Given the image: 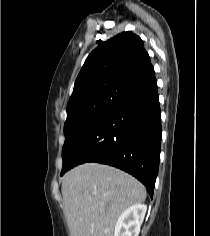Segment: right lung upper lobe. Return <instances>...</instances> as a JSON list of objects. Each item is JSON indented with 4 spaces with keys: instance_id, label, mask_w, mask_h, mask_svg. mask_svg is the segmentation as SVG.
<instances>
[{
    "instance_id": "1",
    "label": "right lung upper lobe",
    "mask_w": 210,
    "mask_h": 236,
    "mask_svg": "<svg viewBox=\"0 0 210 236\" xmlns=\"http://www.w3.org/2000/svg\"><path fill=\"white\" fill-rule=\"evenodd\" d=\"M153 73L141 38L132 32L120 33L87 57L75 81L67 109L107 91H127Z\"/></svg>"
}]
</instances>
